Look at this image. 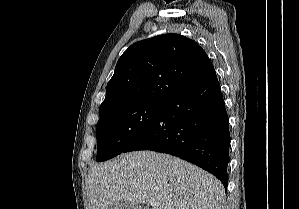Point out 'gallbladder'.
<instances>
[{
	"label": "gallbladder",
	"mask_w": 299,
	"mask_h": 209,
	"mask_svg": "<svg viewBox=\"0 0 299 209\" xmlns=\"http://www.w3.org/2000/svg\"><path fill=\"white\" fill-rule=\"evenodd\" d=\"M105 209H140V207L122 199L111 205H108Z\"/></svg>",
	"instance_id": "bac80fb5"
}]
</instances>
